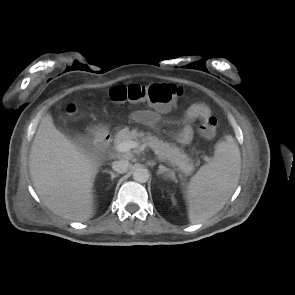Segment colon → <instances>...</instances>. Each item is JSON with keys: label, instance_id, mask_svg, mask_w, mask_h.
I'll use <instances>...</instances> for the list:
<instances>
[{"label": "colon", "instance_id": "obj_1", "mask_svg": "<svg viewBox=\"0 0 295 295\" xmlns=\"http://www.w3.org/2000/svg\"><path fill=\"white\" fill-rule=\"evenodd\" d=\"M182 88L173 84H130L118 85L109 89L108 97L116 103H146L159 110L166 111L182 96ZM69 114L77 111L76 104L67 107ZM217 120L213 115H207L199 126L200 133L206 138L215 136Z\"/></svg>", "mask_w": 295, "mask_h": 295}]
</instances>
